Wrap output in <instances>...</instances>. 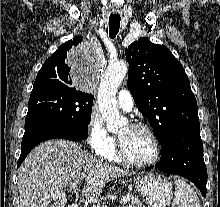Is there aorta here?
Wrapping results in <instances>:
<instances>
[{"instance_id":"obj_1","label":"aorta","mask_w":220,"mask_h":207,"mask_svg":"<svg viewBox=\"0 0 220 207\" xmlns=\"http://www.w3.org/2000/svg\"><path fill=\"white\" fill-rule=\"evenodd\" d=\"M128 72L124 62L111 63L103 74L98 90V106L102 117L106 120L108 131L114 132L127 120L119 113L116 93Z\"/></svg>"}]
</instances>
